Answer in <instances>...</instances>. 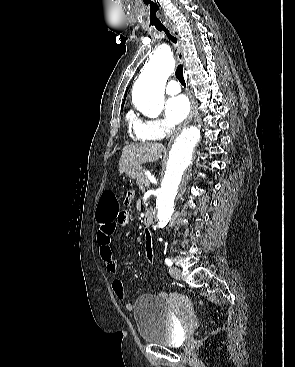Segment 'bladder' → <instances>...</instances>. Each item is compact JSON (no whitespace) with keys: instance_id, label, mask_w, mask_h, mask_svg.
<instances>
[{"instance_id":"31cf9c89","label":"bladder","mask_w":295,"mask_h":367,"mask_svg":"<svg viewBox=\"0 0 295 367\" xmlns=\"http://www.w3.org/2000/svg\"><path fill=\"white\" fill-rule=\"evenodd\" d=\"M133 315L139 337L152 344L174 347L180 341V328L165 300L142 295L134 304Z\"/></svg>"}]
</instances>
